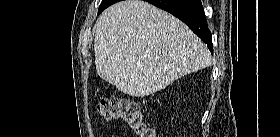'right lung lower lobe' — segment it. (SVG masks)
I'll return each mask as SVG.
<instances>
[{
  "mask_svg": "<svg viewBox=\"0 0 280 137\" xmlns=\"http://www.w3.org/2000/svg\"><path fill=\"white\" fill-rule=\"evenodd\" d=\"M179 18L199 36L213 52L212 34L208 29L207 20L201 0H145Z\"/></svg>",
  "mask_w": 280,
  "mask_h": 137,
  "instance_id": "obj_1",
  "label": "right lung lower lobe"
}]
</instances>
